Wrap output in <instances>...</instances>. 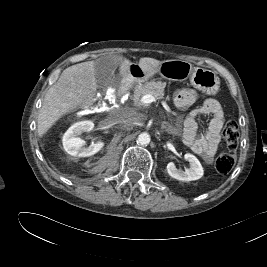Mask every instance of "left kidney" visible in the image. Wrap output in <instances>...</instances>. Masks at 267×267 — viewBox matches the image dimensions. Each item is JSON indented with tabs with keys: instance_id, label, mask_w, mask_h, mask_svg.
Wrapping results in <instances>:
<instances>
[{
	"instance_id": "obj_1",
	"label": "left kidney",
	"mask_w": 267,
	"mask_h": 267,
	"mask_svg": "<svg viewBox=\"0 0 267 267\" xmlns=\"http://www.w3.org/2000/svg\"><path fill=\"white\" fill-rule=\"evenodd\" d=\"M184 158L189 162V168H186L185 170H178L175 164L170 162L166 167L168 174L172 178L184 182L200 179L204 174V170L196 156L187 153L184 155Z\"/></svg>"
}]
</instances>
